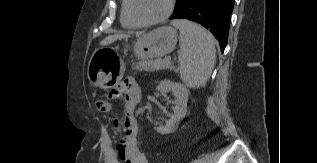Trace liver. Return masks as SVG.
Listing matches in <instances>:
<instances>
[{
    "instance_id": "1",
    "label": "liver",
    "mask_w": 317,
    "mask_h": 163,
    "mask_svg": "<svg viewBox=\"0 0 317 163\" xmlns=\"http://www.w3.org/2000/svg\"><path fill=\"white\" fill-rule=\"evenodd\" d=\"M127 37H128L127 35H123V34H121V35H109L101 41L100 45L106 46V45H109V44L115 42L116 40H121V39H124Z\"/></svg>"
}]
</instances>
